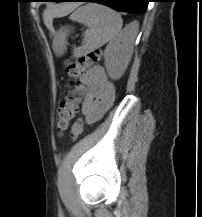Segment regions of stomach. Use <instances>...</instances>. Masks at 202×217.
<instances>
[{
	"label": "stomach",
	"mask_w": 202,
	"mask_h": 217,
	"mask_svg": "<svg viewBox=\"0 0 202 217\" xmlns=\"http://www.w3.org/2000/svg\"><path fill=\"white\" fill-rule=\"evenodd\" d=\"M68 35L67 31L61 32L56 38V44L54 47V51L57 55H62L66 49L65 41Z\"/></svg>",
	"instance_id": "1"
}]
</instances>
